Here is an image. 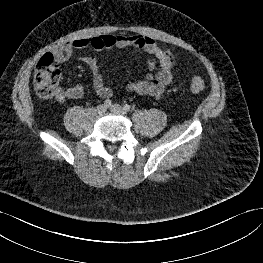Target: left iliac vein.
<instances>
[{"mask_svg": "<svg viewBox=\"0 0 263 263\" xmlns=\"http://www.w3.org/2000/svg\"><path fill=\"white\" fill-rule=\"evenodd\" d=\"M110 111L116 114L125 115L126 111L118 104H114L110 107Z\"/></svg>", "mask_w": 263, "mask_h": 263, "instance_id": "left-iliac-vein-1", "label": "left iliac vein"}]
</instances>
